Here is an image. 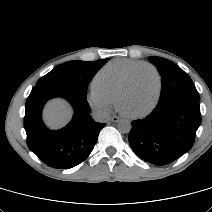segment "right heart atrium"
Listing matches in <instances>:
<instances>
[{
    "mask_svg": "<svg viewBox=\"0 0 212 212\" xmlns=\"http://www.w3.org/2000/svg\"><path fill=\"white\" fill-rule=\"evenodd\" d=\"M87 102L91 108L101 113H107L114 105V99L97 88L96 85H92L90 88Z\"/></svg>",
    "mask_w": 212,
    "mask_h": 212,
    "instance_id": "obj_1",
    "label": "right heart atrium"
}]
</instances>
